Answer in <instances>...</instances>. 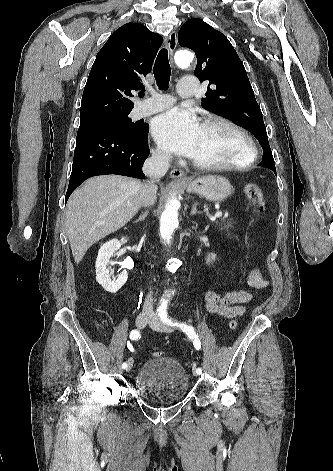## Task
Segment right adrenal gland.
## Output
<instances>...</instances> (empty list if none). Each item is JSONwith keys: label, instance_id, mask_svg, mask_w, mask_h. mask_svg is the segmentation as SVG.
Returning <instances> with one entry per match:
<instances>
[{"label": "right adrenal gland", "instance_id": "1", "mask_svg": "<svg viewBox=\"0 0 333 471\" xmlns=\"http://www.w3.org/2000/svg\"><path fill=\"white\" fill-rule=\"evenodd\" d=\"M147 215H148V210H146L145 212H143V213L141 214V216H140L135 222H140V221L145 220V218L147 217Z\"/></svg>", "mask_w": 333, "mask_h": 471}]
</instances>
